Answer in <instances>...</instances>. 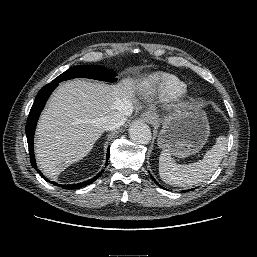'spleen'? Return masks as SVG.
<instances>
[{
  "label": "spleen",
  "mask_w": 257,
  "mask_h": 257,
  "mask_svg": "<svg viewBox=\"0 0 257 257\" xmlns=\"http://www.w3.org/2000/svg\"><path fill=\"white\" fill-rule=\"evenodd\" d=\"M227 149V138L220 136L215 145L206 152L204 158L188 165L177 164L168 150L159 157L160 178L175 186H192L209 178L222 161Z\"/></svg>",
  "instance_id": "obj_1"
}]
</instances>
